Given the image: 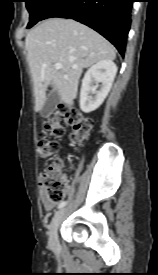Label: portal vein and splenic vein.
Instances as JSON below:
<instances>
[{"label": "portal vein and splenic vein", "mask_w": 158, "mask_h": 275, "mask_svg": "<svg viewBox=\"0 0 158 275\" xmlns=\"http://www.w3.org/2000/svg\"><path fill=\"white\" fill-rule=\"evenodd\" d=\"M54 67H55L56 70H60L62 68V64L61 63H56L54 65Z\"/></svg>", "instance_id": "portal-vein-and-splenic-vein-1"}]
</instances>
